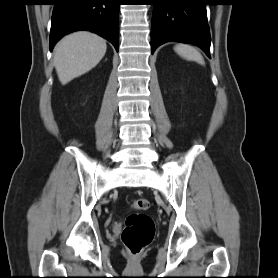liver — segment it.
Masks as SVG:
<instances>
[{"label":"liver","mask_w":278,"mask_h":278,"mask_svg":"<svg viewBox=\"0 0 278 278\" xmlns=\"http://www.w3.org/2000/svg\"><path fill=\"white\" fill-rule=\"evenodd\" d=\"M106 41L91 32L78 31L65 36L56 46L54 66L65 85L93 69L106 53Z\"/></svg>","instance_id":"obj_1"}]
</instances>
